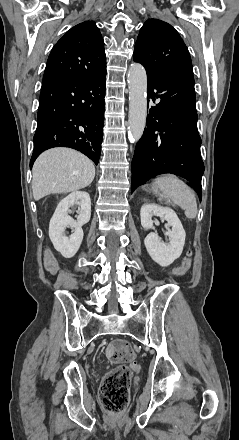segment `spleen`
<instances>
[{"mask_svg": "<svg viewBox=\"0 0 239 440\" xmlns=\"http://www.w3.org/2000/svg\"><path fill=\"white\" fill-rule=\"evenodd\" d=\"M155 186L160 188L162 192L159 200H163V198L172 200L174 204L185 210L187 218H190V220L196 218L197 204L195 192L189 186H186L182 180H178L173 174H165L162 178H156Z\"/></svg>", "mask_w": 239, "mask_h": 440, "instance_id": "obj_1", "label": "spleen"}]
</instances>
